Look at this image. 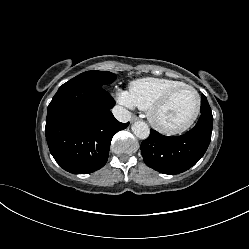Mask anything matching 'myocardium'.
<instances>
[{"label":"myocardium","instance_id":"obj_1","mask_svg":"<svg viewBox=\"0 0 249 249\" xmlns=\"http://www.w3.org/2000/svg\"><path fill=\"white\" fill-rule=\"evenodd\" d=\"M182 89H189L195 94L196 106H195L194 112L185 124L178 126V127H173V128L166 127L162 125L156 119V114L161 108H163L170 101V99L175 93H177L179 90H182ZM200 109H201V97H200L199 92L191 85L182 84V85H178L176 87L171 88L164 95H162L158 100L153 102L151 106L148 108L147 113H148L149 122L154 128H156L158 131L164 134H167V135H176V134L185 132L195 123V121L197 120L199 116Z\"/></svg>","mask_w":249,"mask_h":249}]
</instances>
